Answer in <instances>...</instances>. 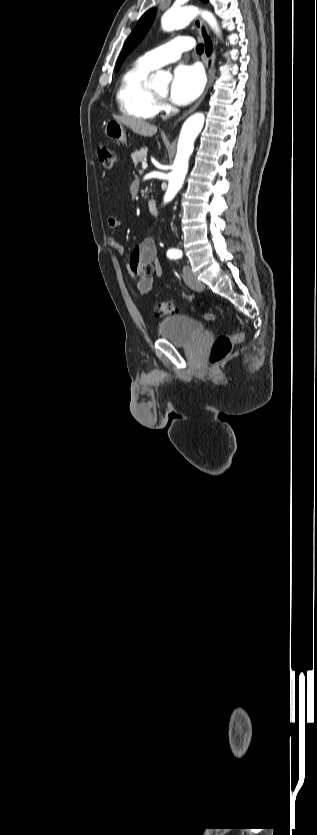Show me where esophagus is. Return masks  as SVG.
I'll list each match as a JSON object with an SVG mask.
<instances>
[{"instance_id":"obj_1","label":"esophagus","mask_w":317,"mask_h":835,"mask_svg":"<svg viewBox=\"0 0 317 835\" xmlns=\"http://www.w3.org/2000/svg\"><path fill=\"white\" fill-rule=\"evenodd\" d=\"M194 26H195V28H196V29H197V30L201 33V31H202V27H203V23H202V20H201L199 17L195 18V20H194ZM214 65H215V52H214V51H211V52L209 53V56H208V57H207V59H206V66H207V67L209 66V71H208V84H207V87H206V89H205L204 93L202 94V96H201V97L197 100V102H196V103H195V104H194V105H193V106H192V107H191L188 111H186V112H185V113H184V114H183V115H182V116H181V117H180V118H179V119L175 122V124H176L177 122H179L180 120L184 119L185 117H187V116H188L189 114H191L193 111H195V110H196V108H197V107L200 105V103L203 101V99H204V97H205V95H206V93H207V91H208V89H209V86H210V84H211V81H212V73H213Z\"/></svg>"}]
</instances>
